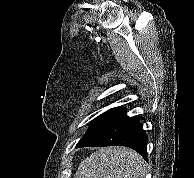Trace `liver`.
<instances>
[{
    "mask_svg": "<svg viewBox=\"0 0 194 178\" xmlns=\"http://www.w3.org/2000/svg\"><path fill=\"white\" fill-rule=\"evenodd\" d=\"M147 164L134 150L100 148L84 159L74 178H145Z\"/></svg>",
    "mask_w": 194,
    "mask_h": 178,
    "instance_id": "1",
    "label": "liver"
}]
</instances>
